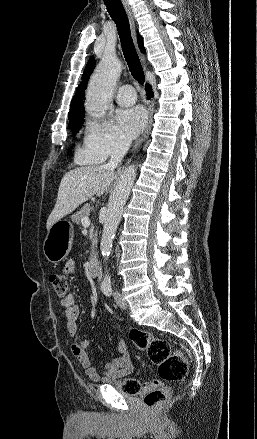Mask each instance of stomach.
Listing matches in <instances>:
<instances>
[{
  "instance_id": "obj_1",
  "label": "stomach",
  "mask_w": 257,
  "mask_h": 439,
  "mask_svg": "<svg viewBox=\"0 0 257 439\" xmlns=\"http://www.w3.org/2000/svg\"><path fill=\"white\" fill-rule=\"evenodd\" d=\"M74 237V227L68 220L55 222L48 230L43 243V252L47 260L58 263L63 260L71 250Z\"/></svg>"
}]
</instances>
